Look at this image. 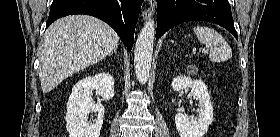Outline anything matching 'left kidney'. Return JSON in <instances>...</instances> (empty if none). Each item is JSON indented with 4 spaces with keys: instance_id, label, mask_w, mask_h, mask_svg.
I'll return each instance as SVG.
<instances>
[{
    "instance_id": "obj_1",
    "label": "left kidney",
    "mask_w": 280,
    "mask_h": 137,
    "mask_svg": "<svg viewBox=\"0 0 280 137\" xmlns=\"http://www.w3.org/2000/svg\"><path fill=\"white\" fill-rule=\"evenodd\" d=\"M171 86L175 91L191 89L192 98L198 101V117H188L183 113L175 116L176 129L180 137H203L213 122V106L207 86L202 80H193L179 75L173 78Z\"/></svg>"
}]
</instances>
